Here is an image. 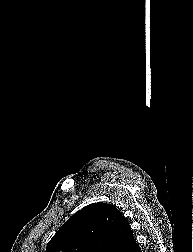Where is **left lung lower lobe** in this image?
Instances as JSON below:
<instances>
[{
	"label": "left lung lower lobe",
	"instance_id": "obj_1",
	"mask_svg": "<svg viewBox=\"0 0 193 252\" xmlns=\"http://www.w3.org/2000/svg\"><path fill=\"white\" fill-rule=\"evenodd\" d=\"M123 252H141L140 247L136 243L134 237L129 241V243L126 245Z\"/></svg>",
	"mask_w": 193,
	"mask_h": 252
}]
</instances>
